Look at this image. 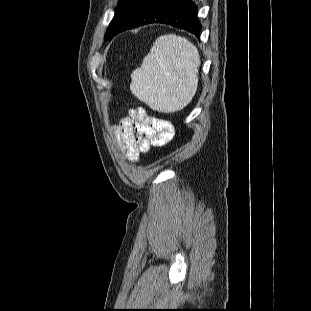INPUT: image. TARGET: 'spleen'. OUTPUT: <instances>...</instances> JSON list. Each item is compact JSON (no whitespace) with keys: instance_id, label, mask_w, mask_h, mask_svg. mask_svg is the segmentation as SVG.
I'll return each mask as SVG.
<instances>
[{"instance_id":"3e777b00","label":"spleen","mask_w":311,"mask_h":311,"mask_svg":"<svg viewBox=\"0 0 311 311\" xmlns=\"http://www.w3.org/2000/svg\"><path fill=\"white\" fill-rule=\"evenodd\" d=\"M199 65V52L193 43L175 34L162 35L141 67L131 74L130 90L153 110H182L196 93Z\"/></svg>"}]
</instances>
